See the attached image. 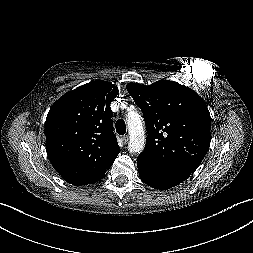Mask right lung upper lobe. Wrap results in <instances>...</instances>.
Wrapping results in <instances>:
<instances>
[{
    "label": "right lung upper lobe",
    "instance_id": "1",
    "mask_svg": "<svg viewBox=\"0 0 253 253\" xmlns=\"http://www.w3.org/2000/svg\"><path fill=\"white\" fill-rule=\"evenodd\" d=\"M118 88L97 80L61 96L45 122L46 150L55 170L73 185L102 179L120 152L110 103Z\"/></svg>",
    "mask_w": 253,
    "mask_h": 253
}]
</instances>
